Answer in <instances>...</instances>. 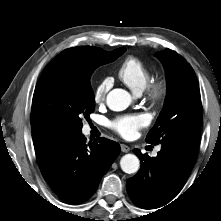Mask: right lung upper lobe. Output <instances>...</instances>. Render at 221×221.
Returning a JSON list of instances; mask_svg holds the SVG:
<instances>
[{
    "instance_id": "obj_1",
    "label": "right lung upper lobe",
    "mask_w": 221,
    "mask_h": 221,
    "mask_svg": "<svg viewBox=\"0 0 221 221\" xmlns=\"http://www.w3.org/2000/svg\"><path fill=\"white\" fill-rule=\"evenodd\" d=\"M32 136H33V139H35V138H39V137L44 136V135H39V134L33 133Z\"/></svg>"
}]
</instances>
